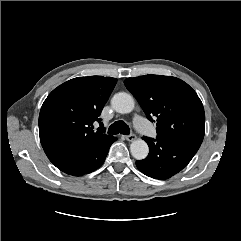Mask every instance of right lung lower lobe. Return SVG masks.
I'll use <instances>...</instances> for the list:
<instances>
[{"label": "right lung lower lobe", "mask_w": 241, "mask_h": 241, "mask_svg": "<svg viewBox=\"0 0 241 241\" xmlns=\"http://www.w3.org/2000/svg\"><path fill=\"white\" fill-rule=\"evenodd\" d=\"M117 140L113 136L85 150L59 156L51 162L61 171L73 176H82L99 168L108 154L110 146Z\"/></svg>", "instance_id": "obj_1"}]
</instances>
